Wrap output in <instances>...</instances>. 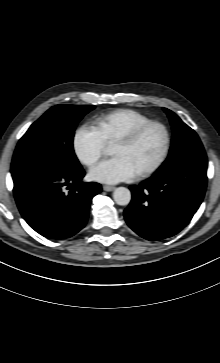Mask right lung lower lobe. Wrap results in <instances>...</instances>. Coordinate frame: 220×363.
<instances>
[{"label":"right lung lower lobe","mask_w":220,"mask_h":363,"mask_svg":"<svg viewBox=\"0 0 220 363\" xmlns=\"http://www.w3.org/2000/svg\"><path fill=\"white\" fill-rule=\"evenodd\" d=\"M83 169L73 173L35 172L14 181V196L25 221L39 234L65 239L86 224L92 198L101 191L84 183ZM74 187H71L70 184ZM68 186L70 191H64Z\"/></svg>","instance_id":"obj_1"}]
</instances>
